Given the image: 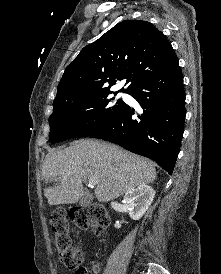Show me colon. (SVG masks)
<instances>
[{"label": "colon", "instance_id": "colon-1", "mask_svg": "<svg viewBox=\"0 0 221 274\" xmlns=\"http://www.w3.org/2000/svg\"><path fill=\"white\" fill-rule=\"evenodd\" d=\"M69 215L78 228H92L96 234H102L108 225L107 211L99 204L73 208ZM50 223L61 263L66 268L75 270V274H87V271L81 267L83 261L81 251L71 243L66 210L55 209L51 214Z\"/></svg>", "mask_w": 221, "mask_h": 274}]
</instances>
